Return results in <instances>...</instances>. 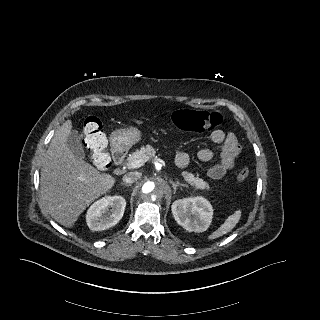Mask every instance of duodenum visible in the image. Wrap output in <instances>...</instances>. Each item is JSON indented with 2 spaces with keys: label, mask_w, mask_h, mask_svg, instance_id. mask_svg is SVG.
Instances as JSON below:
<instances>
[{
  "label": "duodenum",
  "mask_w": 320,
  "mask_h": 320,
  "mask_svg": "<svg viewBox=\"0 0 320 320\" xmlns=\"http://www.w3.org/2000/svg\"><path fill=\"white\" fill-rule=\"evenodd\" d=\"M112 156H113V160H114L115 164L121 165L124 162L125 157H126L125 148L118 143L114 144Z\"/></svg>",
  "instance_id": "duodenum-1"
}]
</instances>
